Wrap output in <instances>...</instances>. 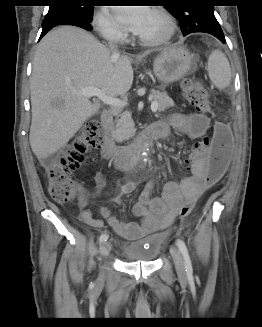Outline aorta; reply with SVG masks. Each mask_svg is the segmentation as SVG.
I'll return each mask as SVG.
<instances>
[{
  "label": "aorta",
  "instance_id": "1",
  "mask_svg": "<svg viewBox=\"0 0 262 327\" xmlns=\"http://www.w3.org/2000/svg\"><path fill=\"white\" fill-rule=\"evenodd\" d=\"M144 151L146 152V147L144 148ZM145 154V153H144Z\"/></svg>",
  "mask_w": 262,
  "mask_h": 327
}]
</instances>
